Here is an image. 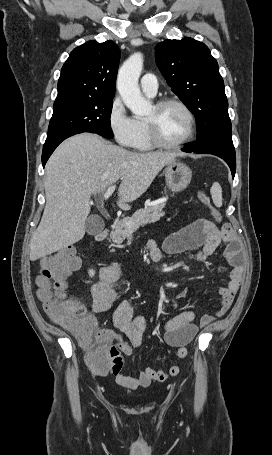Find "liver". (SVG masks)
I'll use <instances>...</instances> for the list:
<instances>
[{"instance_id":"obj_1","label":"liver","mask_w":272,"mask_h":455,"mask_svg":"<svg viewBox=\"0 0 272 455\" xmlns=\"http://www.w3.org/2000/svg\"><path fill=\"white\" fill-rule=\"evenodd\" d=\"M179 154L136 153L83 133L65 140L46 164V205L30 242L36 261L81 240L90 213V197L121 179L118 206L130 209L163 167Z\"/></svg>"}]
</instances>
